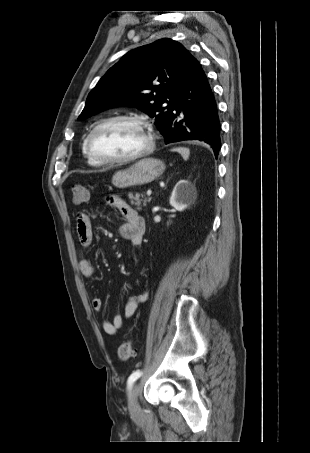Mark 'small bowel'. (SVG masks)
<instances>
[{
    "label": "small bowel",
    "mask_w": 310,
    "mask_h": 453,
    "mask_svg": "<svg viewBox=\"0 0 310 453\" xmlns=\"http://www.w3.org/2000/svg\"><path fill=\"white\" fill-rule=\"evenodd\" d=\"M110 204L117 208L124 217V222L120 227L121 236L128 240L133 247L138 248L142 243L145 232L144 219L121 198H111ZM76 232L83 251H87L93 242V232L90 217L85 211H81L77 214ZM79 269L86 278H93L95 276V268L92 262L86 258L80 260ZM147 299V291L131 295L125 304L124 314H117L113 317L112 321H105L103 323L104 331L108 335H114L123 327L125 319L132 317L135 314L138 305L145 302ZM92 307L95 311L100 312L103 307L102 300L98 297L93 298Z\"/></svg>",
    "instance_id": "small-bowel-1"
}]
</instances>
